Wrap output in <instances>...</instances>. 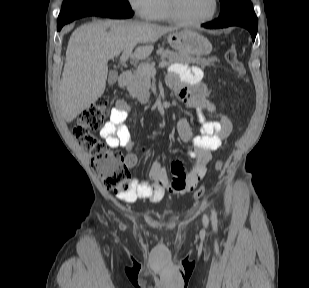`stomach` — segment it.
Wrapping results in <instances>:
<instances>
[{
    "mask_svg": "<svg viewBox=\"0 0 309 288\" xmlns=\"http://www.w3.org/2000/svg\"><path fill=\"white\" fill-rule=\"evenodd\" d=\"M169 45L180 54L200 57L210 54L212 45L209 40L197 31L183 29L168 36Z\"/></svg>",
    "mask_w": 309,
    "mask_h": 288,
    "instance_id": "stomach-1",
    "label": "stomach"
}]
</instances>
